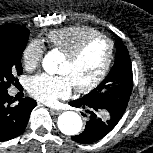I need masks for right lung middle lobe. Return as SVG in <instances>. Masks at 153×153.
I'll return each mask as SVG.
<instances>
[{
	"label": "right lung middle lobe",
	"mask_w": 153,
	"mask_h": 153,
	"mask_svg": "<svg viewBox=\"0 0 153 153\" xmlns=\"http://www.w3.org/2000/svg\"><path fill=\"white\" fill-rule=\"evenodd\" d=\"M29 37V30L0 31V91L17 82L16 74L23 72L21 58Z\"/></svg>",
	"instance_id": "1"
}]
</instances>
